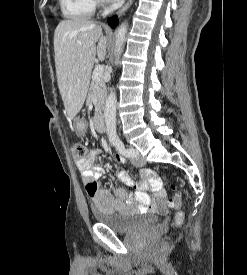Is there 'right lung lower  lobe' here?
Here are the masks:
<instances>
[{
  "instance_id": "obj_1",
  "label": "right lung lower lobe",
  "mask_w": 247,
  "mask_h": 275,
  "mask_svg": "<svg viewBox=\"0 0 247 275\" xmlns=\"http://www.w3.org/2000/svg\"><path fill=\"white\" fill-rule=\"evenodd\" d=\"M108 24H109L112 28H115L116 25L118 24L117 17H116V16H113V17L109 18V19H108Z\"/></svg>"
}]
</instances>
